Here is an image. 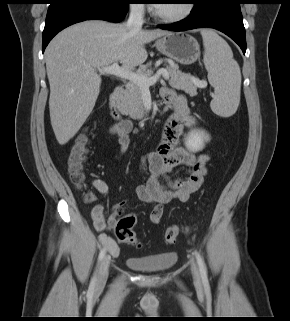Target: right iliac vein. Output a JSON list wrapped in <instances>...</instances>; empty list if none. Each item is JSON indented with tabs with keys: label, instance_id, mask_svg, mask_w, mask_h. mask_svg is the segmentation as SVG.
<instances>
[{
	"label": "right iliac vein",
	"instance_id": "right-iliac-vein-1",
	"mask_svg": "<svg viewBox=\"0 0 290 321\" xmlns=\"http://www.w3.org/2000/svg\"><path fill=\"white\" fill-rule=\"evenodd\" d=\"M109 265H110V257L105 256L101 262L98 276H97V287L100 288L105 285L107 278H108V273H109Z\"/></svg>",
	"mask_w": 290,
	"mask_h": 321
}]
</instances>
